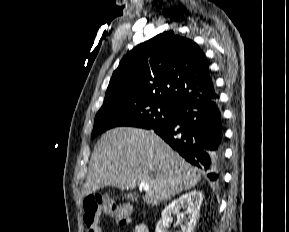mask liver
Wrapping results in <instances>:
<instances>
[{
  "mask_svg": "<svg viewBox=\"0 0 289 232\" xmlns=\"http://www.w3.org/2000/svg\"><path fill=\"white\" fill-rule=\"evenodd\" d=\"M200 179L198 169L153 131L118 127L97 142L82 195L105 186L129 190L144 183L150 187L144 202L157 206L195 187Z\"/></svg>",
  "mask_w": 289,
  "mask_h": 232,
  "instance_id": "obj_1",
  "label": "liver"
}]
</instances>
